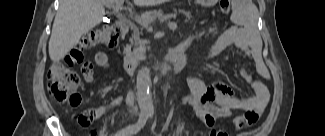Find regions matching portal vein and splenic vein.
Listing matches in <instances>:
<instances>
[{
	"instance_id": "portal-vein-and-splenic-vein-1",
	"label": "portal vein and splenic vein",
	"mask_w": 325,
	"mask_h": 136,
	"mask_svg": "<svg viewBox=\"0 0 325 136\" xmlns=\"http://www.w3.org/2000/svg\"><path fill=\"white\" fill-rule=\"evenodd\" d=\"M118 4H116L115 6H112L111 8L116 11L119 12L122 10V3L123 0H120L117 2ZM153 20V17L147 16V17H136V21L138 23H142L144 25L148 24L149 22H151ZM177 27V24L172 22L170 23V28L175 29Z\"/></svg>"
}]
</instances>
